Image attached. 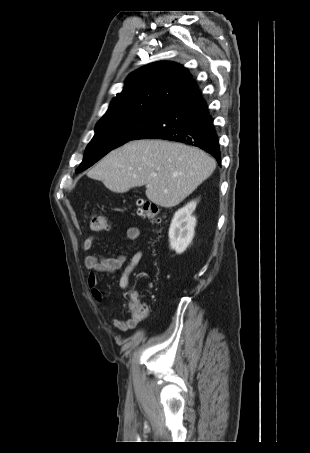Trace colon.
Returning <instances> with one entry per match:
<instances>
[{
	"mask_svg": "<svg viewBox=\"0 0 310 453\" xmlns=\"http://www.w3.org/2000/svg\"><path fill=\"white\" fill-rule=\"evenodd\" d=\"M138 211L137 213L143 217L148 219L153 223L160 222V209L159 207L150 201L139 200L137 202ZM91 229L95 232H102L108 230V218L106 215L102 213H94L91 216L90 221ZM129 310L131 315L137 318H144L148 314L147 306L141 302L139 296L137 294H132L129 301Z\"/></svg>",
	"mask_w": 310,
	"mask_h": 453,
	"instance_id": "obj_1",
	"label": "colon"
}]
</instances>
